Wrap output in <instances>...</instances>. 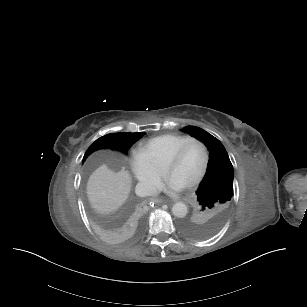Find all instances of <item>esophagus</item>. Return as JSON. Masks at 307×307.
I'll list each match as a JSON object with an SVG mask.
<instances>
[{"label":"esophagus","mask_w":307,"mask_h":307,"mask_svg":"<svg viewBox=\"0 0 307 307\" xmlns=\"http://www.w3.org/2000/svg\"><path fill=\"white\" fill-rule=\"evenodd\" d=\"M154 202H155V204H157V205H161V204L164 203V201H163L162 199H160V198H156V199L154 200Z\"/></svg>","instance_id":"1"}]
</instances>
